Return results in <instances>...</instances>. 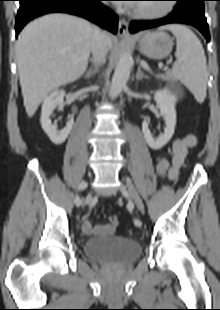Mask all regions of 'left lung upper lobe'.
<instances>
[{"label":"left lung upper lobe","instance_id":"obj_1","mask_svg":"<svg viewBox=\"0 0 220 310\" xmlns=\"http://www.w3.org/2000/svg\"><path fill=\"white\" fill-rule=\"evenodd\" d=\"M178 5L181 6H194L196 8H199L201 10H204V4L203 1L205 0H177Z\"/></svg>","mask_w":220,"mask_h":310}]
</instances>
